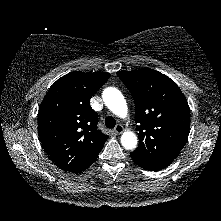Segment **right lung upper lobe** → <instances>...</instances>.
I'll list each match as a JSON object with an SVG mask.
<instances>
[{
    "label": "right lung upper lobe",
    "mask_w": 221,
    "mask_h": 221,
    "mask_svg": "<svg viewBox=\"0 0 221 221\" xmlns=\"http://www.w3.org/2000/svg\"><path fill=\"white\" fill-rule=\"evenodd\" d=\"M109 73L73 72L48 90L38 113L41 143L62 170L79 172L102 150L108 136L97 129V114L89 100Z\"/></svg>",
    "instance_id": "1"
}]
</instances>
